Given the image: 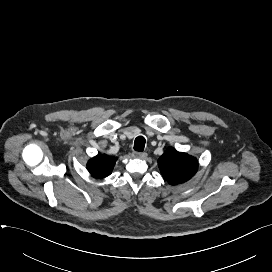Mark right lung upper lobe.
Returning a JSON list of instances; mask_svg holds the SVG:
<instances>
[{
    "label": "right lung upper lobe",
    "instance_id": "obj_1",
    "mask_svg": "<svg viewBox=\"0 0 272 272\" xmlns=\"http://www.w3.org/2000/svg\"><path fill=\"white\" fill-rule=\"evenodd\" d=\"M117 157L97 155L87 163L88 171L96 178H104L111 174Z\"/></svg>",
    "mask_w": 272,
    "mask_h": 272
}]
</instances>
